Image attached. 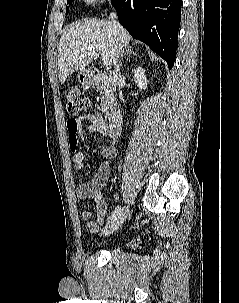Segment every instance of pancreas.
Segmentation results:
<instances>
[{"label": "pancreas", "mask_w": 239, "mask_h": 303, "mask_svg": "<svg viewBox=\"0 0 239 303\" xmlns=\"http://www.w3.org/2000/svg\"><path fill=\"white\" fill-rule=\"evenodd\" d=\"M101 107H102V111L104 113L107 112L108 110V105H107V92L106 90H104V92L102 93V97H101Z\"/></svg>", "instance_id": "1"}]
</instances>
